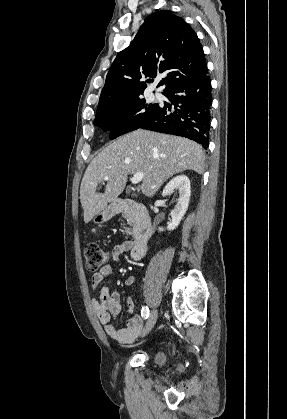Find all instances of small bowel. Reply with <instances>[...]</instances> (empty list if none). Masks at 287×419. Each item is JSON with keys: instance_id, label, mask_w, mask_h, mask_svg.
I'll return each mask as SVG.
<instances>
[{"instance_id": "1", "label": "small bowel", "mask_w": 287, "mask_h": 419, "mask_svg": "<svg viewBox=\"0 0 287 419\" xmlns=\"http://www.w3.org/2000/svg\"><path fill=\"white\" fill-rule=\"evenodd\" d=\"M133 247V241H125L113 248L111 253L112 263L102 267L91 278V285L94 290L98 289L102 280L112 273L115 265L119 262L120 255L132 250ZM134 282L135 278L129 276L125 280V285L132 286ZM92 305L98 319L103 324L106 334L118 343H132L140 335L143 327L142 318L133 314L135 307L133 298L127 299L129 317L126 328H117L114 325V320L120 315L122 310L120 294L117 290H111L108 286H102L100 288L99 300L93 299Z\"/></svg>"}]
</instances>
